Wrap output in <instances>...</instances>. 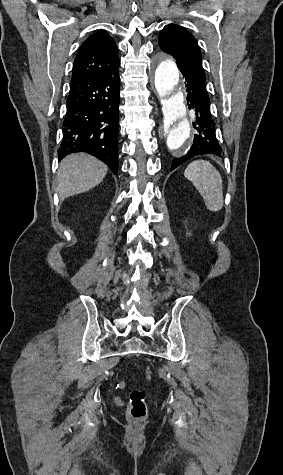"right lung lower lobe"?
<instances>
[{"instance_id":"98d812e1","label":"right lung lower lobe","mask_w":283,"mask_h":475,"mask_svg":"<svg viewBox=\"0 0 283 475\" xmlns=\"http://www.w3.org/2000/svg\"><path fill=\"white\" fill-rule=\"evenodd\" d=\"M119 71L71 79L59 159L89 153L113 171L118 170Z\"/></svg>"}]
</instances>
